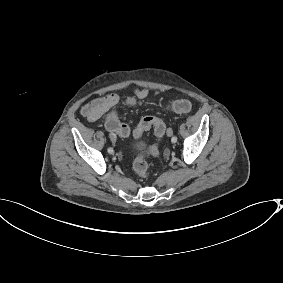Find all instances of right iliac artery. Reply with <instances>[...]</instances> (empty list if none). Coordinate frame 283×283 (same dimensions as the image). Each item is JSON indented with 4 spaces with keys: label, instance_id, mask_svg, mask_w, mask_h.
<instances>
[{
    "label": "right iliac artery",
    "instance_id": "obj_1",
    "mask_svg": "<svg viewBox=\"0 0 283 283\" xmlns=\"http://www.w3.org/2000/svg\"><path fill=\"white\" fill-rule=\"evenodd\" d=\"M108 153H110V154L113 153V148H111V147L108 148Z\"/></svg>",
    "mask_w": 283,
    "mask_h": 283
}]
</instances>
